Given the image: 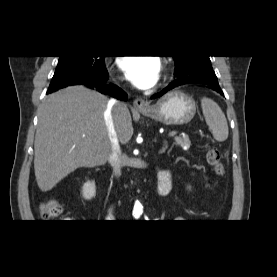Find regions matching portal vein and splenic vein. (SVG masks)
Here are the masks:
<instances>
[{
  "label": "portal vein and splenic vein",
  "mask_w": 277,
  "mask_h": 277,
  "mask_svg": "<svg viewBox=\"0 0 277 277\" xmlns=\"http://www.w3.org/2000/svg\"><path fill=\"white\" fill-rule=\"evenodd\" d=\"M176 134H177L176 131H171V132H169L168 136L169 137H174V136H176Z\"/></svg>",
  "instance_id": "1"
}]
</instances>
